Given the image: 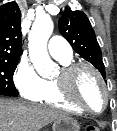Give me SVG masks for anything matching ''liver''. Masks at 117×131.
<instances>
[{
	"label": "liver",
	"mask_w": 117,
	"mask_h": 131,
	"mask_svg": "<svg viewBox=\"0 0 117 131\" xmlns=\"http://www.w3.org/2000/svg\"><path fill=\"white\" fill-rule=\"evenodd\" d=\"M67 116L56 108L0 98V131H39Z\"/></svg>",
	"instance_id": "liver-1"
}]
</instances>
